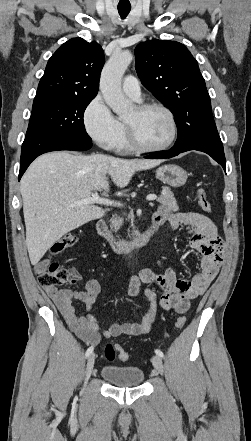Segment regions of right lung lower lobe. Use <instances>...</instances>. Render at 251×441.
I'll return each instance as SVG.
<instances>
[{
    "label": "right lung lower lobe",
    "instance_id": "obj_1",
    "mask_svg": "<svg viewBox=\"0 0 251 441\" xmlns=\"http://www.w3.org/2000/svg\"><path fill=\"white\" fill-rule=\"evenodd\" d=\"M92 147V142H77L63 140L55 135L38 130H27L21 149L20 172L22 177L30 163L39 155L58 150L84 151Z\"/></svg>",
    "mask_w": 251,
    "mask_h": 441
}]
</instances>
